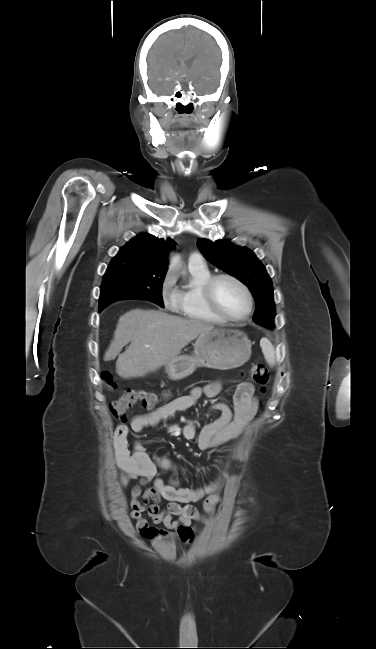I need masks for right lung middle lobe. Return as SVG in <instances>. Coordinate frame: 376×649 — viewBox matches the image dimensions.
<instances>
[{"mask_svg": "<svg viewBox=\"0 0 376 649\" xmlns=\"http://www.w3.org/2000/svg\"><path fill=\"white\" fill-rule=\"evenodd\" d=\"M166 271L152 272L146 263L131 258H113L103 277L99 311L122 299L149 300L164 307L162 284Z\"/></svg>", "mask_w": 376, "mask_h": 649, "instance_id": "obj_1", "label": "right lung middle lobe"}]
</instances>
